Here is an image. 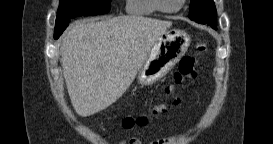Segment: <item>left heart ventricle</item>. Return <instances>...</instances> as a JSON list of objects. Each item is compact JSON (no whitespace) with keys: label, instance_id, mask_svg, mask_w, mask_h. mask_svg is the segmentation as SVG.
<instances>
[{"label":"left heart ventricle","instance_id":"obj_1","mask_svg":"<svg viewBox=\"0 0 273 144\" xmlns=\"http://www.w3.org/2000/svg\"><path fill=\"white\" fill-rule=\"evenodd\" d=\"M163 5L167 9H173L178 6L180 0H163Z\"/></svg>","mask_w":273,"mask_h":144}]
</instances>
